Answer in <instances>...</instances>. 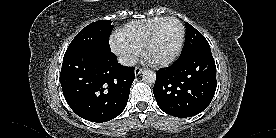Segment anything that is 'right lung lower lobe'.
Masks as SVG:
<instances>
[{
    "label": "right lung lower lobe",
    "instance_id": "obj_1",
    "mask_svg": "<svg viewBox=\"0 0 276 138\" xmlns=\"http://www.w3.org/2000/svg\"><path fill=\"white\" fill-rule=\"evenodd\" d=\"M134 67L118 63L111 50L84 48L64 55L60 83L71 109L80 117L102 123L125 109Z\"/></svg>",
    "mask_w": 276,
    "mask_h": 138
}]
</instances>
